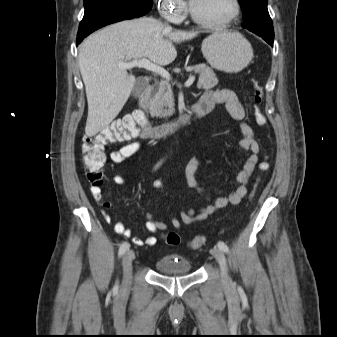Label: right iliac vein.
Here are the masks:
<instances>
[{
	"label": "right iliac vein",
	"instance_id": "right-iliac-vein-1",
	"mask_svg": "<svg viewBox=\"0 0 337 337\" xmlns=\"http://www.w3.org/2000/svg\"><path fill=\"white\" fill-rule=\"evenodd\" d=\"M134 257H135V254L133 250H128L123 256L122 265H123V272H124V280H123V285L121 289V293L123 296L127 295L130 289L132 261Z\"/></svg>",
	"mask_w": 337,
	"mask_h": 337
}]
</instances>
